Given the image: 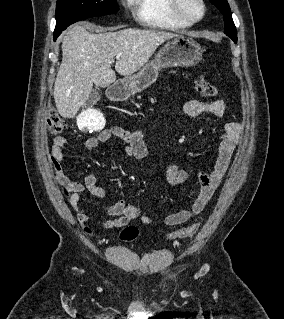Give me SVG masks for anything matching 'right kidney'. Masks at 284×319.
<instances>
[{
  "label": "right kidney",
  "mask_w": 284,
  "mask_h": 319,
  "mask_svg": "<svg viewBox=\"0 0 284 319\" xmlns=\"http://www.w3.org/2000/svg\"><path fill=\"white\" fill-rule=\"evenodd\" d=\"M105 118L102 113L94 109H86L77 117L78 128L82 131H100L105 126Z\"/></svg>",
  "instance_id": "right-kidney-1"
}]
</instances>
